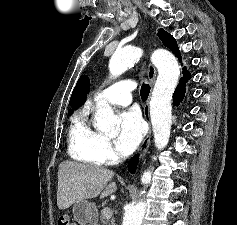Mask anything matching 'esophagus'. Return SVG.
I'll list each match as a JSON object with an SVG mask.
<instances>
[{"instance_id":"34e87169","label":"esophagus","mask_w":237,"mask_h":225,"mask_svg":"<svg viewBox=\"0 0 237 225\" xmlns=\"http://www.w3.org/2000/svg\"><path fill=\"white\" fill-rule=\"evenodd\" d=\"M147 75H148L151 86H153V84L155 82V78H156V69L152 63H149ZM143 114H144V118H145L146 122L149 125V129H148V132H147L146 136L144 137V139L140 145L139 151H138V155H139L140 159H142L145 156L146 152L148 151L149 145H150L151 125H150V114H149V99L145 102V104L143 106Z\"/></svg>"}]
</instances>
